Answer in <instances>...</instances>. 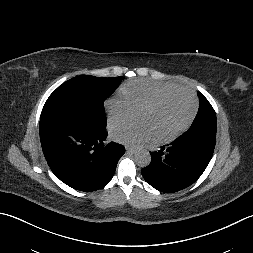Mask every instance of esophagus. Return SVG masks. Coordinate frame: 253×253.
Wrapping results in <instances>:
<instances>
[{"label":"esophagus","instance_id":"obj_1","mask_svg":"<svg viewBox=\"0 0 253 253\" xmlns=\"http://www.w3.org/2000/svg\"><path fill=\"white\" fill-rule=\"evenodd\" d=\"M126 152L128 154H135L136 153V149L135 148H131V147H126Z\"/></svg>","mask_w":253,"mask_h":253}]
</instances>
